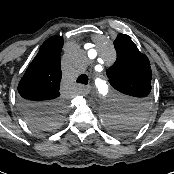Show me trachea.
Masks as SVG:
<instances>
[{
    "mask_svg": "<svg viewBox=\"0 0 174 174\" xmlns=\"http://www.w3.org/2000/svg\"><path fill=\"white\" fill-rule=\"evenodd\" d=\"M77 83H82V84L87 85V83H88V76L86 74L80 75L78 77V79H77Z\"/></svg>",
    "mask_w": 174,
    "mask_h": 174,
    "instance_id": "1",
    "label": "trachea"
}]
</instances>
